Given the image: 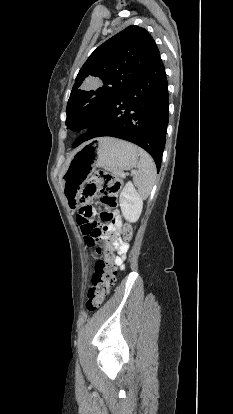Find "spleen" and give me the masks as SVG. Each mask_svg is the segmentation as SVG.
<instances>
[{
  "label": "spleen",
  "mask_w": 233,
  "mask_h": 414,
  "mask_svg": "<svg viewBox=\"0 0 233 414\" xmlns=\"http://www.w3.org/2000/svg\"><path fill=\"white\" fill-rule=\"evenodd\" d=\"M139 156L138 172L134 175L133 180L139 194L147 197L155 184L157 170L152 157L146 151L139 149Z\"/></svg>",
  "instance_id": "spleen-1"
}]
</instances>
